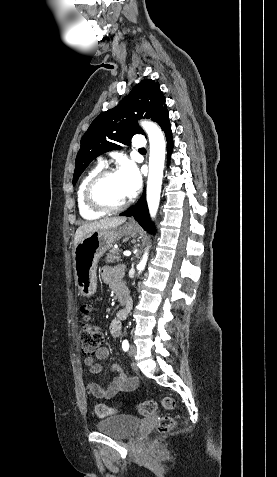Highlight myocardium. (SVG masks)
<instances>
[{
  "instance_id": "1",
  "label": "myocardium",
  "mask_w": 277,
  "mask_h": 477,
  "mask_svg": "<svg viewBox=\"0 0 277 477\" xmlns=\"http://www.w3.org/2000/svg\"><path fill=\"white\" fill-rule=\"evenodd\" d=\"M118 171L113 168L102 169L96 173L86 184L84 189V202L86 206L95 211L103 214L115 213L123 210L129 204V200L126 199L118 205H109L101 201L97 196L98 186L109 176L117 173Z\"/></svg>"
}]
</instances>
